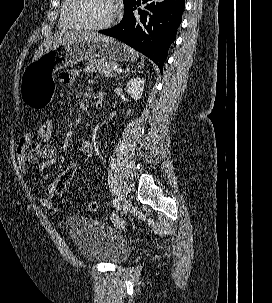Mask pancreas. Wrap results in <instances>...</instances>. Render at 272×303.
Segmentation results:
<instances>
[{"instance_id": "cf45deb5", "label": "pancreas", "mask_w": 272, "mask_h": 303, "mask_svg": "<svg viewBox=\"0 0 272 303\" xmlns=\"http://www.w3.org/2000/svg\"><path fill=\"white\" fill-rule=\"evenodd\" d=\"M116 68H120L119 64L114 61H107L104 59H91L89 60L83 72L92 73L99 72L109 77H114L116 75Z\"/></svg>"}]
</instances>
